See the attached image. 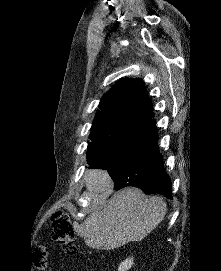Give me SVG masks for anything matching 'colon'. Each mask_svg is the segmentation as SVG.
Here are the masks:
<instances>
[{
    "label": "colon",
    "mask_w": 221,
    "mask_h": 271,
    "mask_svg": "<svg viewBox=\"0 0 221 271\" xmlns=\"http://www.w3.org/2000/svg\"><path fill=\"white\" fill-rule=\"evenodd\" d=\"M51 236L53 240L62 245L68 253L77 251L76 231L72 225L70 215L63 209L55 210L51 214ZM48 255V250L45 246L41 247L33 254V263L37 267H44Z\"/></svg>",
    "instance_id": "colon-1"
}]
</instances>
